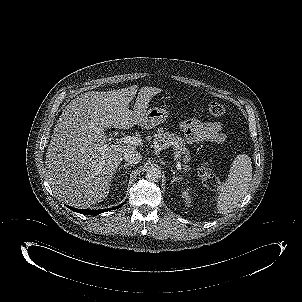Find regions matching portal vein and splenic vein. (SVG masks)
<instances>
[{
	"mask_svg": "<svg viewBox=\"0 0 302 302\" xmlns=\"http://www.w3.org/2000/svg\"><path fill=\"white\" fill-rule=\"evenodd\" d=\"M120 143H124V144H131V145H141L142 143V139H140L139 137L136 136H124L122 138H120L119 140ZM177 168H181V164L180 162H177Z\"/></svg>",
	"mask_w": 302,
	"mask_h": 302,
	"instance_id": "1",
	"label": "portal vein and splenic vein"
}]
</instances>
